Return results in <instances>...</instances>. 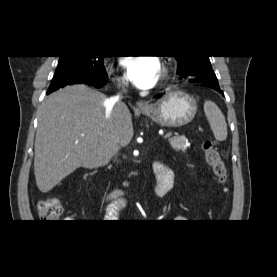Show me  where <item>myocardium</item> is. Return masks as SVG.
<instances>
[{"label":"myocardium","mask_w":277,"mask_h":277,"mask_svg":"<svg viewBox=\"0 0 277 277\" xmlns=\"http://www.w3.org/2000/svg\"><path fill=\"white\" fill-rule=\"evenodd\" d=\"M167 76V69L163 68L161 72V80H164V78Z\"/></svg>","instance_id":"obj_1"}]
</instances>
